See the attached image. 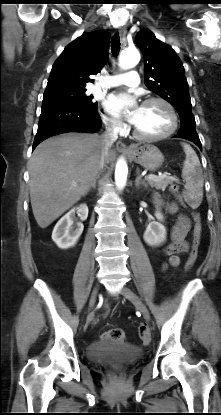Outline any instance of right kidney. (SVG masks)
Here are the masks:
<instances>
[{"mask_svg": "<svg viewBox=\"0 0 221 415\" xmlns=\"http://www.w3.org/2000/svg\"><path fill=\"white\" fill-rule=\"evenodd\" d=\"M75 212L78 214L81 221L88 217V207L82 204L79 207L73 208L65 214L55 225L52 232V240L61 249H67L74 246L81 236L84 226L81 222L73 226Z\"/></svg>", "mask_w": 221, "mask_h": 415, "instance_id": "1", "label": "right kidney"}]
</instances>
